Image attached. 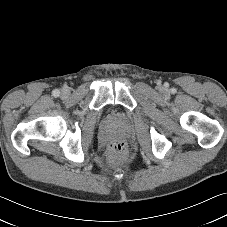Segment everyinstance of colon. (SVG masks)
I'll list each match as a JSON object with an SVG mask.
<instances>
[{
  "label": "colon",
  "mask_w": 227,
  "mask_h": 227,
  "mask_svg": "<svg viewBox=\"0 0 227 227\" xmlns=\"http://www.w3.org/2000/svg\"><path fill=\"white\" fill-rule=\"evenodd\" d=\"M110 163L117 166L123 162L126 157V145L122 140L113 141L108 148Z\"/></svg>",
  "instance_id": "1"
}]
</instances>
